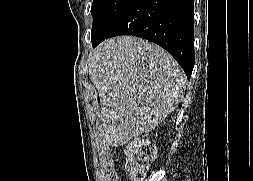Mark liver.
Returning a JSON list of instances; mask_svg holds the SVG:
<instances>
[{
    "label": "liver",
    "mask_w": 253,
    "mask_h": 181,
    "mask_svg": "<svg viewBox=\"0 0 253 181\" xmlns=\"http://www.w3.org/2000/svg\"><path fill=\"white\" fill-rule=\"evenodd\" d=\"M88 72L99 93L98 129L113 146L154 130L175 110L186 84L168 52L132 36L96 47L88 57Z\"/></svg>",
    "instance_id": "1"
}]
</instances>
